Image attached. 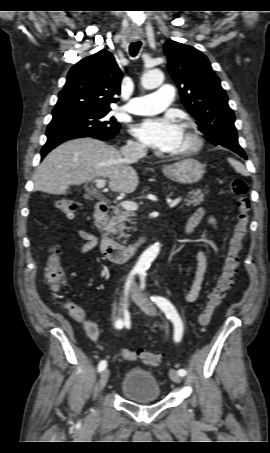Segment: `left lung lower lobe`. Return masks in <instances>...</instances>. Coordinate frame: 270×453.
<instances>
[{"mask_svg":"<svg viewBox=\"0 0 270 453\" xmlns=\"http://www.w3.org/2000/svg\"><path fill=\"white\" fill-rule=\"evenodd\" d=\"M230 150H232V151H234L235 153L239 154V155H240L241 157H243L244 159H247L246 154H245V152L242 150L241 147H235V148H232V149H230Z\"/></svg>","mask_w":270,"mask_h":453,"instance_id":"left-lung-lower-lobe-1","label":"left lung lower lobe"}]
</instances>
